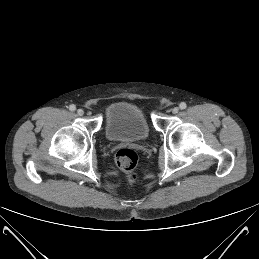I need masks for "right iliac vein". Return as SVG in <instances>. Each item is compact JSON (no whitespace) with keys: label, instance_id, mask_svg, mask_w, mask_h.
Masks as SVG:
<instances>
[{"label":"right iliac vein","instance_id":"obj_1","mask_svg":"<svg viewBox=\"0 0 259 259\" xmlns=\"http://www.w3.org/2000/svg\"><path fill=\"white\" fill-rule=\"evenodd\" d=\"M77 114H78L79 116H82V115L84 114V111H83L82 109H78V110H77Z\"/></svg>","mask_w":259,"mask_h":259}]
</instances>
